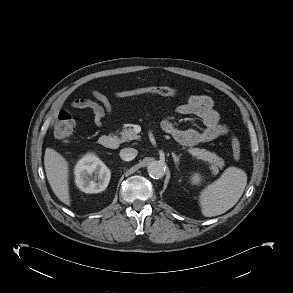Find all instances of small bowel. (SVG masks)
Wrapping results in <instances>:
<instances>
[{
  "label": "small bowel",
  "mask_w": 293,
  "mask_h": 293,
  "mask_svg": "<svg viewBox=\"0 0 293 293\" xmlns=\"http://www.w3.org/2000/svg\"><path fill=\"white\" fill-rule=\"evenodd\" d=\"M93 99L77 98L72 101L71 106L74 109L89 110L93 115V121L96 126H102L104 119L112 112V106L109 98L101 91L92 92ZM180 115L195 116L201 119L205 129L198 131L194 128L181 129L172 121L166 119L162 123V129L171 134L179 143L192 146L211 142L228 133V127L221 123L220 115L214 107V101L210 96L195 94L176 108Z\"/></svg>",
  "instance_id": "c3829d8e"
}]
</instances>
